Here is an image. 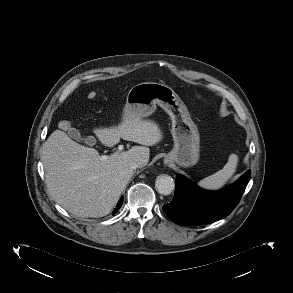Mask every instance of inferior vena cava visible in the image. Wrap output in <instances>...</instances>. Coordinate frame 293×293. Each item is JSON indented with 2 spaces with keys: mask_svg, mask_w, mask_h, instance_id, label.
Here are the masks:
<instances>
[{
  "mask_svg": "<svg viewBox=\"0 0 293 293\" xmlns=\"http://www.w3.org/2000/svg\"><path fill=\"white\" fill-rule=\"evenodd\" d=\"M143 166H144V163L141 162V161H138V162H130L129 163V167L132 170H135L136 168H140V167H143Z\"/></svg>",
  "mask_w": 293,
  "mask_h": 293,
  "instance_id": "1",
  "label": "inferior vena cava"
}]
</instances>
